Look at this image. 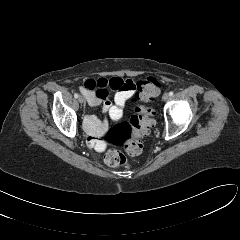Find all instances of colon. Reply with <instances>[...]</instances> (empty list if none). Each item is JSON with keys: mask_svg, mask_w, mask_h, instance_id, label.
I'll return each instance as SVG.
<instances>
[{"mask_svg": "<svg viewBox=\"0 0 240 240\" xmlns=\"http://www.w3.org/2000/svg\"><path fill=\"white\" fill-rule=\"evenodd\" d=\"M135 101L149 102L154 100L161 91L160 82L154 77H147L135 83ZM153 109L138 105L134 115L127 122L113 126L101 141L107 146L104 159L110 166H122L126 163L123 148L131 156L142 151V138L150 132L154 125Z\"/></svg>", "mask_w": 240, "mask_h": 240, "instance_id": "obj_1", "label": "colon"}]
</instances>
